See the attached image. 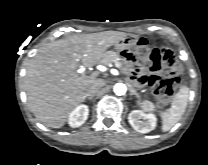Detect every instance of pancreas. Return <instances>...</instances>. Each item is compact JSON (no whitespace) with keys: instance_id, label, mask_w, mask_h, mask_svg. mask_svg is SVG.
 I'll return each mask as SVG.
<instances>
[{"instance_id":"cf45deb5","label":"pancreas","mask_w":208,"mask_h":165,"mask_svg":"<svg viewBox=\"0 0 208 165\" xmlns=\"http://www.w3.org/2000/svg\"><path fill=\"white\" fill-rule=\"evenodd\" d=\"M102 62L104 65H108L110 62L124 64L122 58L114 51H107Z\"/></svg>"}]
</instances>
